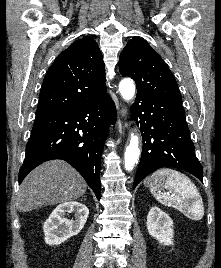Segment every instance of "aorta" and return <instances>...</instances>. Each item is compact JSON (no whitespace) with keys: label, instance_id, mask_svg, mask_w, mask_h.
<instances>
[{"label":"aorta","instance_id":"762f6f07","mask_svg":"<svg viewBox=\"0 0 221 268\" xmlns=\"http://www.w3.org/2000/svg\"><path fill=\"white\" fill-rule=\"evenodd\" d=\"M119 91L124 100L130 101L135 95V85L131 79H123L119 84ZM139 139L135 134H131L130 143L126 148L124 164L125 169L130 171L139 159Z\"/></svg>","mask_w":221,"mask_h":268}]
</instances>
